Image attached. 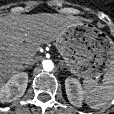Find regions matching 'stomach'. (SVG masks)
I'll list each match as a JSON object with an SVG mask.
<instances>
[{"instance_id":"1","label":"stomach","mask_w":114,"mask_h":114,"mask_svg":"<svg viewBox=\"0 0 114 114\" xmlns=\"http://www.w3.org/2000/svg\"><path fill=\"white\" fill-rule=\"evenodd\" d=\"M56 47L69 70L85 80L94 81L114 67V42L89 23L69 27Z\"/></svg>"}]
</instances>
